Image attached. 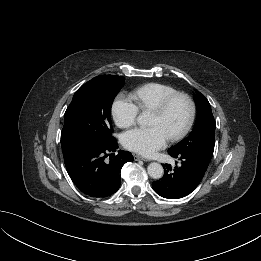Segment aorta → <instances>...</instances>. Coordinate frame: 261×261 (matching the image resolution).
Returning a JSON list of instances; mask_svg holds the SVG:
<instances>
[{"mask_svg":"<svg viewBox=\"0 0 261 261\" xmlns=\"http://www.w3.org/2000/svg\"><path fill=\"white\" fill-rule=\"evenodd\" d=\"M148 119V114L143 112L138 116L137 121L140 125H147ZM147 172L151 178L160 179L164 174V169L161 164L153 162L148 165Z\"/></svg>","mask_w":261,"mask_h":261,"instance_id":"obj_1","label":"aorta"}]
</instances>
